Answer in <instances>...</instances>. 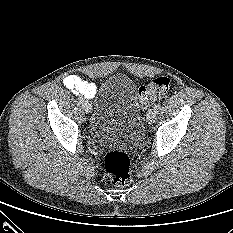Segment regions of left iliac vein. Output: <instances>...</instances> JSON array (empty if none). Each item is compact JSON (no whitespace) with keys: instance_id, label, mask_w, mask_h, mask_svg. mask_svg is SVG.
Wrapping results in <instances>:
<instances>
[{"instance_id":"1","label":"left iliac vein","mask_w":233,"mask_h":233,"mask_svg":"<svg viewBox=\"0 0 233 233\" xmlns=\"http://www.w3.org/2000/svg\"><path fill=\"white\" fill-rule=\"evenodd\" d=\"M156 113H157V111L153 108V109H150L149 111H148V114H147V122L149 123V124H152L153 122H154V120H155V117H156Z\"/></svg>"}]
</instances>
